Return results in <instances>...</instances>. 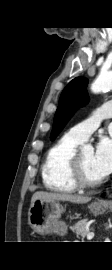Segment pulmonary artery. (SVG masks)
<instances>
[{"mask_svg":"<svg viewBox=\"0 0 112 270\" xmlns=\"http://www.w3.org/2000/svg\"><path fill=\"white\" fill-rule=\"evenodd\" d=\"M112 118V102L97 108L92 116L72 127L68 134L74 139L84 142L100 126L103 119Z\"/></svg>","mask_w":112,"mask_h":270,"instance_id":"e3ab8cb5","label":"pulmonary artery"}]
</instances>
